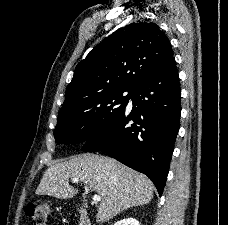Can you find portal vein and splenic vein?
<instances>
[{"label": "portal vein and splenic vein", "mask_w": 228, "mask_h": 225, "mask_svg": "<svg viewBox=\"0 0 228 225\" xmlns=\"http://www.w3.org/2000/svg\"><path fill=\"white\" fill-rule=\"evenodd\" d=\"M72 181H74V183H78L79 179H76V177H73ZM86 192L87 193H92L93 189L92 188H87ZM92 201H95V203H99V201H101V197H98V195H93Z\"/></svg>", "instance_id": "obj_1"}]
</instances>
